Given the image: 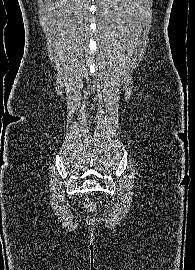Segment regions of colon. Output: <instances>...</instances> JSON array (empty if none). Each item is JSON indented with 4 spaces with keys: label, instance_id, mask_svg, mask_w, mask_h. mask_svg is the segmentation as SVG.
I'll use <instances>...</instances> for the list:
<instances>
[{
    "label": "colon",
    "instance_id": "obj_1",
    "mask_svg": "<svg viewBox=\"0 0 195 270\" xmlns=\"http://www.w3.org/2000/svg\"><path fill=\"white\" fill-rule=\"evenodd\" d=\"M85 205H86L87 208H89L91 210L95 208V204L92 203V202H87Z\"/></svg>",
    "mask_w": 195,
    "mask_h": 270
}]
</instances>
